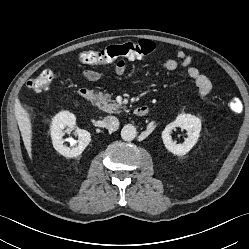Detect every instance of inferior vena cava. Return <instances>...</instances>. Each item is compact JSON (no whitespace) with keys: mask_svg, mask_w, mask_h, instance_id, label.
Instances as JSON below:
<instances>
[{"mask_svg":"<svg viewBox=\"0 0 249 249\" xmlns=\"http://www.w3.org/2000/svg\"><path fill=\"white\" fill-rule=\"evenodd\" d=\"M105 128L110 131H116L119 128V120L115 116H107L104 118Z\"/></svg>","mask_w":249,"mask_h":249,"instance_id":"obj_1","label":"inferior vena cava"}]
</instances>
